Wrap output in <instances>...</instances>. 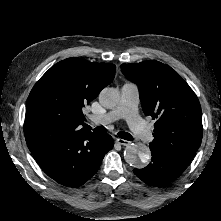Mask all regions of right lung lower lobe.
Wrapping results in <instances>:
<instances>
[{"mask_svg": "<svg viewBox=\"0 0 221 221\" xmlns=\"http://www.w3.org/2000/svg\"><path fill=\"white\" fill-rule=\"evenodd\" d=\"M114 146L107 134L83 132L34 154L44 172L67 187H79L98 170Z\"/></svg>", "mask_w": 221, "mask_h": 221, "instance_id": "98d812e1", "label": "right lung lower lobe"}]
</instances>
